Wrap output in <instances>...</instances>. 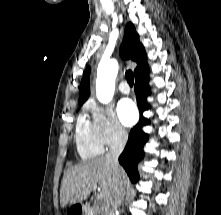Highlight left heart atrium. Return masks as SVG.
Listing matches in <instances>:
<instances>
[{
	"label": "left heart atrium",
	"mask_w": 221,
	"mask_h": 215,
	"mask_svg": "<svg viewBox=\"0 0 221 215\" xmlns=\"http://www.w3.org/2000/svg\"><path fill=\"white\" fill-rule=\"evenodd\" d=\"M118 115L124 125H133L137 118L138 112L134 102L131 99H123L118 105Z\"/></svg>",
	"instance_id": "obj_1"
}]
</instances>
